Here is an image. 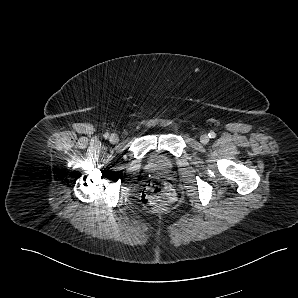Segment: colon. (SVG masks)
Segmentation results:
<instances>
[{
    "label": "colon",
    "instance_id": "obj_1",
    "mask_svg": "<svg viewBox=\"0 0 298 298\" xmlns=\"http://www.w3.org/2000/svg\"><path fill=\"white\" fill-rule=\"evenodd\" d=\"M141 200L147 206L167 207L174 200V191L167 181L155 179L143 190Z\"/></svg>",
    "mask_w": 298,
    "mask_h": 298
}]
</instances>
